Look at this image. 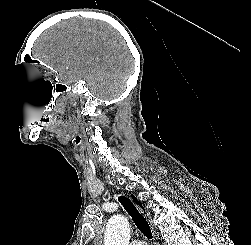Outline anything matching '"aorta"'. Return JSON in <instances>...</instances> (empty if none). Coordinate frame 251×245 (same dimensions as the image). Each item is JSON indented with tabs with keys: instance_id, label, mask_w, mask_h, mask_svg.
<instances>
[{
	"instance_id": "aorta-1",
	"label": "aorta",
	"mask_w": 251,
	"mask_h": 245,
	"mask_svg": "<svg viewBox=\"0 0 251 245\" xmlns=\"http://www.w3.org/2000/svg\"><path fill=\"white\" fill-rule=\"evenodd\" d=\"M130 225L122 215L112 216L105 230L104 245H129Z\"/></svg>"
}]
</instances>
